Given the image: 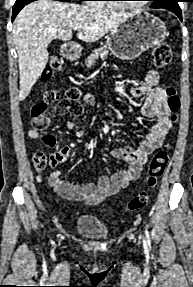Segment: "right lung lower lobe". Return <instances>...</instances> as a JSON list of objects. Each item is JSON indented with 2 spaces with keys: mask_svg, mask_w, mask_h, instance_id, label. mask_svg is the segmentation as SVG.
I'll return each instance as SVG.
<instances>
[{
  "mask_svg": "<svg viewBox=\"0 0 193 287\" xmlns=\"http://www.w3.org/2000/svg\"><path fill=\"white\" fill-rule=\"evenodd\" d=\"M35 0H16L14 6H13V14H12V21L15 19L16 15L19 13V11L26 6L27 4L33 2ZM62 2H70L71 0H58Z\"/></svg>",
  "mask_w": 193,
  "mask_h": 287,
  "instance_id": "right-lung-lower-lobe-1",
  "label": "right lung lower lobe"
}]
</instances>
